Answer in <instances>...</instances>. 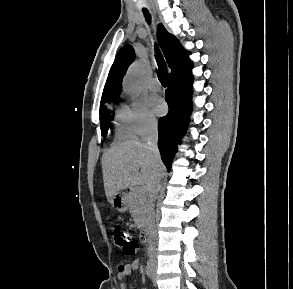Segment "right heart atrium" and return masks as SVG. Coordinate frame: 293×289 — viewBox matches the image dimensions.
<instances>
[{
	"label": "right heart atrium",
	"mask_w": 293,
	"mask_h": 289,
	"mask_svg": "<svg viewBox=\"0 0 293 289\" xmlns=\"http://www.w3.org/2000/svg\"><path fill=\"white\" fill-rule=\"evenodd\" d=\"M136 136H146L157 128V120L147 103L142 99H134L126 107Z\"/></svg>",
	"instance_id": "obj_1"
}]
</instances>
